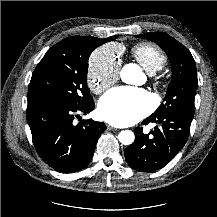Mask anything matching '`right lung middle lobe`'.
<instances>
[{
  "mask_svg": "<svg viewBox=\"0 0 217 217\" xmlns=\"http://www.w3.org/2000/svg\"><path fill=\"white\" fill-rule=\"evenodd\" d=\"M99 38L71 36L51 47L33 72L28 107L41 104L83 106L93 100L86 77L91 52Z\"/></svg>",
  "mask_w": 217,
  "mask_h": 217,
  "instance_id": "dd1d6c3e",
  "label": "right lung middle lobe"
}]
</instances>
